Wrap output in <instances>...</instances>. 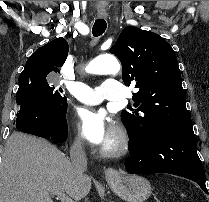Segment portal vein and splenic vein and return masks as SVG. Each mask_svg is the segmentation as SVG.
<instances>
[{
	"label": "portal vein and splenic vein",
	"instance_id": "1",
	"mask_svg": "<svg viewBox=\"0 0 209 202\" xmlns=\"http://www.w3.org/2000/svg\"><path fill=\"white\" fill-rule=\"evenodd\" d=\"M50 192L56 195L61 200V202H74L70 197H68L65 193H63L60 190L54 189Z\"/></svg>",
	"mask_w": 209,
	"mask_h": 202
}]
</instances>
